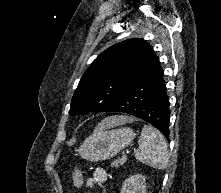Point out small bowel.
<instances>
[{
  "mask_svg": "<svg viewBox=\"0 0 221 193\" xmlns=\"http://www.w3.org/2000/svg\"><path fill=\"white\" fill-rule=\"evenodd\" d=\"M108 175L105 170L97 169L85 182L89 188H95L107 182Z\"/></svg>",
  "mask_w": 221,
  "mask_h": 193,
  "instance_id": "obj_1",
  "label": "small bowel"
}]
</instances>
